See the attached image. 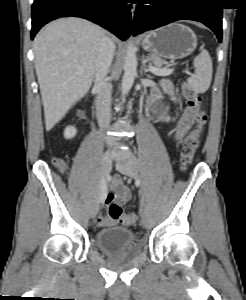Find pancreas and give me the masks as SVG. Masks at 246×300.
Here are the masks:
<instances>
[{"label":"pancreas","mask_w":246,"mask_h":300,"mask_svg":"<svg viewBox=\"0 0 246 300\" xmlns=\"http://www.w3.org/2000/svg\"><path fill=\"white\" fill-rule=\"evenodd\" d=\"M150 61H152L155 65V67L161 69L162 64L164 63L161 59H159L158 57L154 56V55H150V57L148 58Z\"/></svg>","instance_id":"pancreas-1"}]
</instances>
